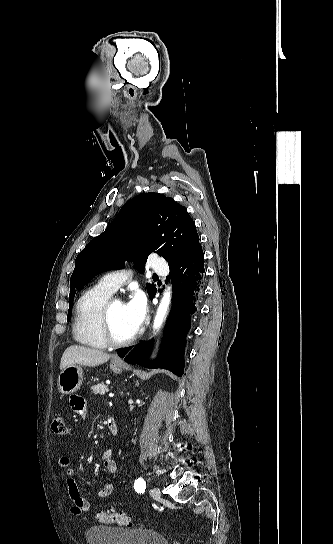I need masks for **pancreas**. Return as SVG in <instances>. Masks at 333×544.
Returning a JSON list of instances; mask_svg holds the SVG:
<instances>
[{
  "instance_id": "cf45deb5",
  "label": "pancreas",
  "mask_w": 333,
  "mask_h": 544,
  "mask_svg": "<svg viewBox=\"0 0 333 544\" xmlns=\"http://www.w3.org/2000/svg\"><path fill=\"white\" fill-rule=\"evenodd\" d=\"M91 390L94 394L104 395L106 392L109 391V388L106 384L100 383V384L91 386Z\"/></svg>"
}]
</instances>
